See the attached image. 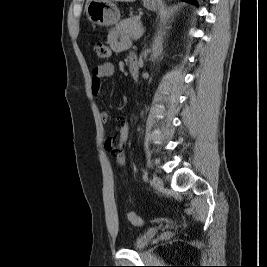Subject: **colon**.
<instances>
[{
	"instance_id": "5ec220e1",
	"label": "colon",
	"mask_w": 267,
	"mask_h": 267,
	"mask_svg": "<svg viewBox=\"0 0 267 267\" xmlns=\"http://www.w3.org/2000/svg\"><path fill=\"white\" fill-rule=\"evenodd\" d=\"M95 51L98 57L102 59H107L112 55L111 48L102 42H97L95 44ZM127 218L129 222L134 226H140L142 223L140 217L135 212H129Z\"/></svg>"
}]
</instances>
